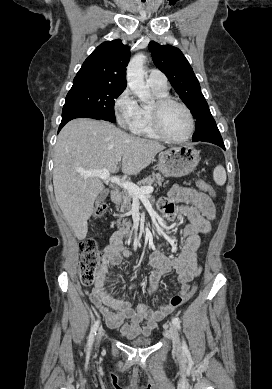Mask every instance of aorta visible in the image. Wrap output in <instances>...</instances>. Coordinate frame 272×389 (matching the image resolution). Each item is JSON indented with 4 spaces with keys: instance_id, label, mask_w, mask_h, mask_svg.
<instances>
[{
    "instance_id": "1",
    "label": "aorta",
    "mask_w": 272,
    "mask_h": 389,
    "mask_svg": "<svg viewBox=\"0 0 272 389\" xmlns=\"http://www.w3.org/2000/svg\"><path fill=\"white\" fill-rule=\"evenodd\" d=\"M146 56L136 54L127 66V83L131 91L145 104L152 101L149 87L144 81V63Z\"/></svg>"
}]
</instances>
